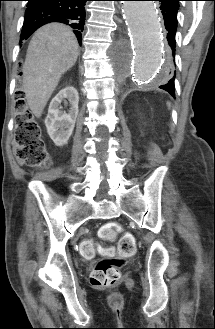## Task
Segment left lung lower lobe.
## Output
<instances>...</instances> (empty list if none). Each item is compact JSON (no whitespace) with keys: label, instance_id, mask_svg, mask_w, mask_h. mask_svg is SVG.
I'll list each match as a JSON object with an SVG mask.
<instances>
[{"label":"left lung lower lobe","instance_id":"0a47b994","mask_svg":"<svg viewBox=\"0 0 215 329\" xmlns=\"http://www.w3.org/2000/svg\"><path fill=\"white\" fill-rule=\"evenodd\" d=\"M160 2V9L164 18L165 28L167 30V56H168V65L167 72L170 75V79L164 82L159 88L167 91L170 95L175 98L174 93V77L173 74V63L175 60V47H176V30H177V12L179 9V3L174 0H156Z\"/></svg>","mask_w":215,"mask_h":329}]
</instances>
